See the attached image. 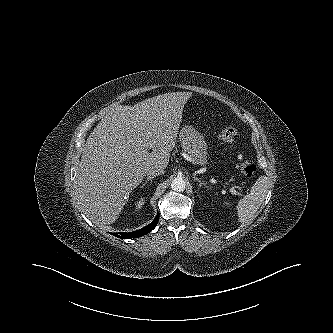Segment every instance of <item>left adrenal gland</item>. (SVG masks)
Returning a JSON list of instances; mask_svg holds the SVG:
<instances>
[{"label":"left adrenal gland","mask_w":333,"mask_h":333,"mask_svg":"<svg viewBox=\"0 0 333 333\" xmlns=\"http://www.w3.org/2000/svg\"><path fill=\"white\" fill-rule=\"evenodd\" d=\"M194 180H196V181L198 182V186H199V188H200L201 186L208 187V186L206 185L205 181H201V180L198 179L197 177H194Z\"/></svg>","instance_id":"left-adrenal-gland-1"}]
</instances>
